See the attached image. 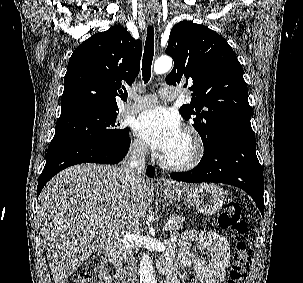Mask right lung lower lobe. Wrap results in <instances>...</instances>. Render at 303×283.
Returning a JSON list of instances; mask_svg holds the SVG:
<instances>
[{
  "label": "right lung lower lobe",
  "mask_w": 303,
  "mask_h": 283,
  "mask_svg": "<svg viewBox=\"0 0 303 283\" xmlns=\"http://www.w3.org/2000/svg\"><path fill=\"white\" fill-rule=\"evenodd\" d=\"M129 137L121 144H103L83 140L50 143L45 167L39 176L37 196L44 185L61 170L80 163L117 164L127 154ZM155 169L147 167V175L154 177Z\"/></svg>",
  "instance_id": "obj_1"
}]
</instances>
